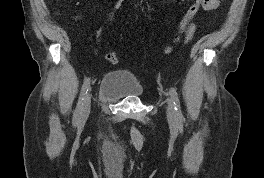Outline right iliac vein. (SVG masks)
Returning a JSON list of instances; mask_svg holds the SVG:
<instances>
[{
  "instance_id": "1",
  "label": "right iliac vein",
  "mask_w": 264,
  "mask_h": 178,
  "mask_svg": "<svg viewBox=\"0 0 264 178\" xmlns=\"http://www.w3.org/2000/svg\"><path fill=\"white\" fill-rule=\"evenodd\" d=\"M91 97H92L91 93H88L84 99L81 114H80V119H79L80 123H84L90 113Z\"/></svg>"
}]
</instances>
